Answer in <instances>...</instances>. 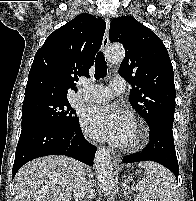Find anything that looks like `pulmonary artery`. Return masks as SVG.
Returning <instances> with one entry per match:
<instances>
[{
  "label": "pulmonary artery",
  "mask_w": 196,
  "mask_h": 201,
  "mask_svg": "<svg viewBox=\"0 0 196 201\" xmlns=\"http://www.w3.org/2000/svg\"><path fill=\"white\" fill-rule=\"evenodd\" d=\"M125 89L123 79H112L109 87L83 83L82 88L76 93V98L87 102H105L120 94Z\"/></svg>",
  "instance_id": "obj_1"
}]
</instances>
